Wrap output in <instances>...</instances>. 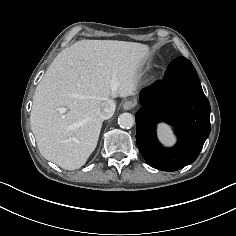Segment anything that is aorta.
<instances>
[{
    "mask_svg": "<svg viewBox=\"0 0 236 236\" xmlns=\"http://www.w3.org/2000/svg\"><path fill=\"white\" fill-rule=\"evenodd\" d=\"M118 124L122 128H131L135 124L134 116L131 113H122L118 117Z\"/></svg>",
    "mask_w": 236,
    "mask_h": 236,
    "instance_id": "aorta-1",
    "label": "aorta"
}]
</instances>
